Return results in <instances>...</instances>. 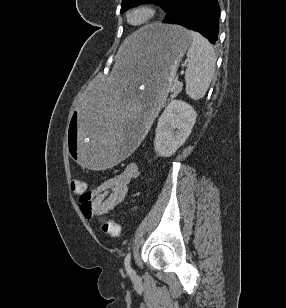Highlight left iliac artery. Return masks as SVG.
Returning <instances> with one entry per match:
<instances>
[{
    "label": "left iliac artery",
    "mask_w": 286,
    "mask_h": 308,
    "mask_svg": "<svg viewBox=\"0 0 286 308\" xmlns=\"http://www.w3.org/2000/svg\"><path fill=\"white\" fill-rule=\"evenodd\" d=\"M130 262H131V252H128L126 257H125V261H124V264H125V268L127 270L128 273H133V270L130 266Z\"/></svg>",
    "instance_id": "44dca946"
}]
</instances>
